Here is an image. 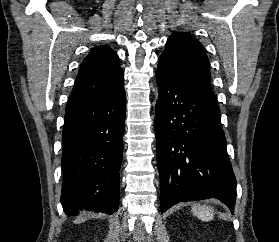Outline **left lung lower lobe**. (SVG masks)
<instances>
[{"mask_svg":"<svg viewBox=\"0 0 279 242\" xmlns=\"http://www.w3.org/2000/svg\"><path fill=\"white\" fill-rule=\"evenodd\" d=\"M155 132L161 212L183 201L215 197L234 212L236 178L220 109L201 85L160 57Z\"/></svg>","mask_w":279,"mask_h":242,"instance_id":"1","label":"left lung lower lobe"}]
</instances>
